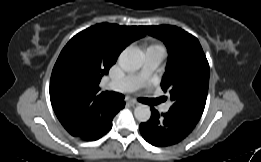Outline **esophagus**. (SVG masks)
<instances>
[{
    "label": "esophagus",
    "mask_w": 261,
    "mask_h": 162,
    "mask_svg": "<svg viewBox=\"0 0 261 162\" xmlns=\"http://www.w3.org/2000/svg\"><path fill=\"white\" fill-rule=\"evenodd\" d=\"M127 104H128L129 106H131V107H136V106L139 105L138 102L133 101V100H129V101L127 102Z\"/></svg>",
    "instance_id": "34e87169"
}]
</instances>
